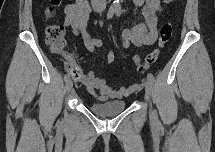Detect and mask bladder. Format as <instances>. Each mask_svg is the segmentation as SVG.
<instances>
[{
    "label": "bladder",
    "mask_w": 215,
    "mask_h": 152,
    "mask_svg": "<svg viewBox=\"0 0 215 152\" xmlns=\"http://www.w3.org/2000/svg\"><path fill=\"white\" fill-rule=\"evenodd\" d=\"M126 106V101L107 100L104 102H93L90 105V110L98 116L107 117L121 113Z\"/></svg>",
    "instance_id": "obj_1"
}]
</instances>
